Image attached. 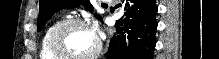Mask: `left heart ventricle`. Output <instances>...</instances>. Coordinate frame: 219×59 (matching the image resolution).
Instances as JSON below:
<instances>
[{
    "instance_id": "b2bd125f",
    "label": "left heart ventricle",
    "mask_w": 219,
    "mask_h": 59,
    "mask_svg": "<svg viewBox=\"0 0 219 59\" xmlns=\"http://www.w3.org/2000/svg\"><path fill=\"white\" fill-rule=\"evenodd\" d=\"M96 45V38L84 26L69 27L62 36V46L71 55H85L90 53Z\"/></svg>"
}]
</instances>
